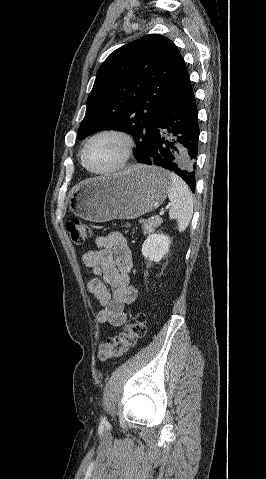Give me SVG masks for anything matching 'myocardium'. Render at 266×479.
Returning a JSON list of instances; mask_svg holds the SVG:
<instances>
[{
	"instance_id": "obj_1",
	"label": "myocardium",
	"mask_w": 266,
	"mask_h": 479,
	"mask_svg": "<svg viewBox=\"0 0 266 479\" xmlns=\"http://www.w3.org/2000/svg\"><path fill=\"white\" fill-rule=\"evenodd\" d=\"M106 136L116 137V138H118L122 141V143H123L122 154H121L118 162L113 167H111L110 169L103 170V171L95 170V169L91 168L87 163V151H88L90 145L95 140H97L101 137H106ZM133 146H134L133 137L129 133H127L123 130L105 129V130L99 131V132L95 133L94 135H92L87 140V142L85 143L84 148L82 150V154H81L82 164L89 172H91L95 175H109V174L115 173V172L119 171L121 168H123L124 165L126 164V162L129 160V158L132 154Z\"/></svg>"
}]
</instances>
